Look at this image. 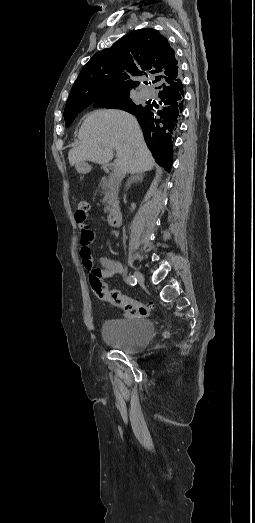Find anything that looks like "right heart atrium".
I'll list each match as a JSON object with an SVG mask.
<instances>
[{"mask_svg": "<svg viewBox=\"0 0 255 523\" xmlns=\"http://www.w3.org/2000/svg\"><path fill=\"white\" fill-rule=\"evenodd\" d=\"M111 110H113V111H117L116 108H114V107H111Z\"/></svg>", "mask_w": 255, "mask_h": 523, "instance_id": "1", "label": "right heart atrium"}]
</instances>
